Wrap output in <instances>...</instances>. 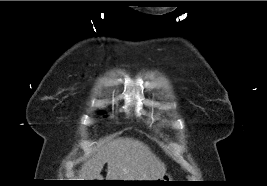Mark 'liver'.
<instances>
[{"label":"liver","instance_id":"6515ba94","mask_svg":"<svg viewBox=\"0 0 267 186\" xmlns=\"http://www.w3.org/2000/svg\"><path fill=\"white\" fill-rule=\"evenodd\" d=\"M107 163L106 180L154 181L166 173V166L149 147L133 138H118L99 147L81 167L80 180H102Z\"/></svg>","mask_w":267,"mask_h":186}]
</instances>
